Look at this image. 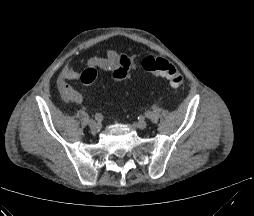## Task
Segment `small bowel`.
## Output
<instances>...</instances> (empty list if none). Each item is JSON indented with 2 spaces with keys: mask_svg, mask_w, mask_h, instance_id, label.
Instances as JSON below:
<instances>
[{
  "mask_svg": "<svg viewBox=\"0 0 254 216\" xmlns=\"http://www.w3.org/2000/svg\"><path fill=\"white\" fill-rule=\"evenodd\" d=\"M89 67L109 71L110 80L113 82L128 83L137 70L138 61L135 55L129 56L114 50H108L104 56L93 57L89 61ZM80 76V72L73 70L69 64H66L62 69L57 80V86L65 101L77 104L84 102L83 95L69 84L70 81H79Z\"/></svg>",
  "mask_w": 254,
  "mask_h": 216,
  "instance_id": "small-bowel-1",
  "label": "small bowel"
}]
</instances>
